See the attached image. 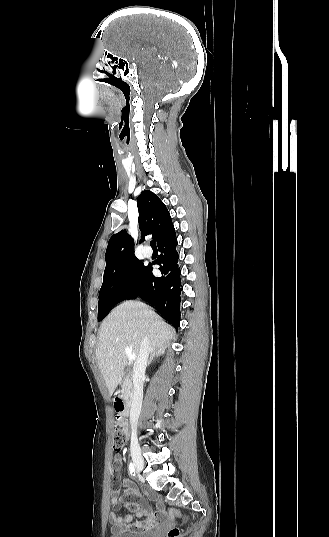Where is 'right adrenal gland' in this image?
Masks as SVG:
<instances>
[{"instance_id": "2a0ac1e0", "label": "right adrenal gland", "mask_w": 329, "mask_h": 537, "mask_svg": "<svg viewBox=\"0 0 329 537\" xmlns=\"http://www.w3.org/2000/svg\"><path fill=\"white\" fill-rule=\"evenodd\" d=\"M164 353V349H157L156 351H154V353L151 355L149 361H148V364L147 366H149L153 360L154 357H158L159 355H162Z\"/></svg>"}]
</instances>
